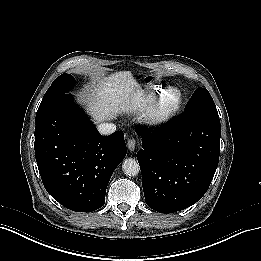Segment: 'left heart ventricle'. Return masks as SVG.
Masks as SVG:
<instances>
[{
    "mask_svg": "<svg viewBox=\"0 0 261 261\" xmlns=\"http://www.w3.org/2000/svg\"><path fill=\"white\" fill-rule=\"evenodd\" d=\"M172 104V99H169L165 102L166 106H170Z\"/></svg>",
    "mask_w": 261,
    "mask_h": 261,
    "instance_id": "obj_1",
    "label": "left heart ventricle"
}]
</instances>
